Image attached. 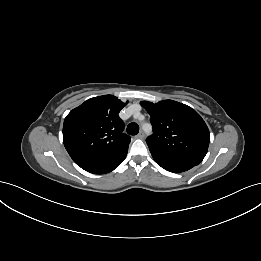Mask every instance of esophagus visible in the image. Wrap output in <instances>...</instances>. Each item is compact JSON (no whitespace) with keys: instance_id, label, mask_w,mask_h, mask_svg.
Segmentation results:
<instances>
[{"instance_id":"esophagus-1","label":"esophagus","mask_w":261,"mask_h":261,"mask_svg":"<svg viewBox=\"0 0 261 261\" xmlns=\"http://www.w3.org/2000/svg\"><path fill=\"white\" fill-rule=\"evenodd\" d=\"M145 137L144 132L140 131L136 138L143 139Z\"/></svg>"}]
</instances>
